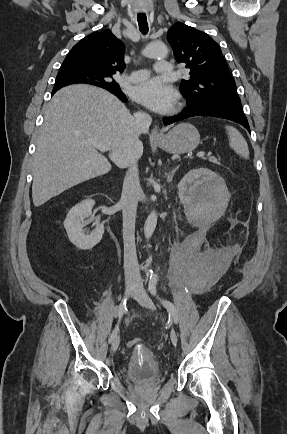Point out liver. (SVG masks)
I'll return each mask as SVG.
<instances>
[{"label": "liver", "mask_w": 287, "mask_h": 434, "mask_svg": "<svg viewBox=\"0 0 287 434\" xmlns=\"http://www.w3.org/2000/svg\"><path fill=\"white\" fill-rule=\"evenodd\" d=\"M148 130L143 131L146 133ZM138 127L125 105L104 89L71 85L60 89L45 108L33 164L35 207L112 166L92 141L110 146L118 167L143 154Z\"/></svg>", "instance_id": "obj_1"}]
</instances>
